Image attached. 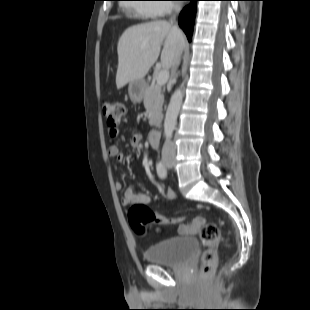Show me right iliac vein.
<instances>
[{"label": "right iliac vein", "instance_id": "1", "mask_svg": "<svg viewBox=\"0 0 310 310\" xmlns=\"http://www.w3.org/2000/svg\"><path fill=\"white\" fill-rule=\"evenodd\" d=\"M171 161V158H164V162L167 164V163H169Z\"/></svg>", "mask_w": 310, "mask_h": 310}]
</instances>
